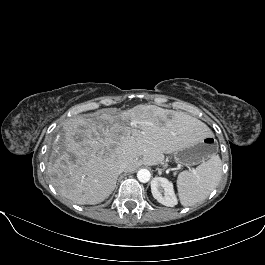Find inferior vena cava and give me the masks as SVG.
Here are the masks:
<instances>
[{
    "mask_svg": "<svg viewBox=\"0 0 265 265\" xmlns=\"http://www.w3.org/2000/svg\"><path fill=\"white\" fill-rule=\"evenodd\" d=\"M127 169H128V164L125 163V162H123V163H121V164L119 165L118 173L120 174V173H122V172H124V171H127Z\"/></svg>",
    "mask_w": 265,
    "mask_h": 265,
    "instance_id": "1",
    "label": "inferior vena cava"
}]
</instances>
